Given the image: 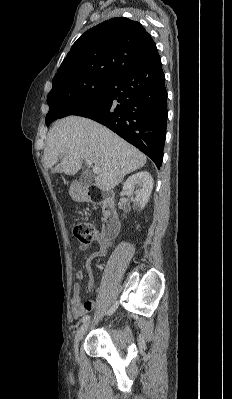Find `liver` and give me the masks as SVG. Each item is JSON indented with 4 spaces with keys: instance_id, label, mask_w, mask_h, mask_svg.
I'll return each instance as SVG.
<instances>
[{
    "instance_id": "1",
    "label": "liver",
    "mask_w": 232,
    "mask_h": 399,
    "mask_svg": "<svg viewBox=\"0 0 232 399\" xmlns=\"http://www.w3.org/2000/svg\"><path fill=\"white\" fill-rule=\"evenodd\" d=\"M83 160H91L100 170L95 186L103 192H110L126 174L146 164L144 154L93 120L69 116L55 122L48 132L45 166L53 168L57 164V172L75 176Z\"/></svg>"
}]
</instances>
